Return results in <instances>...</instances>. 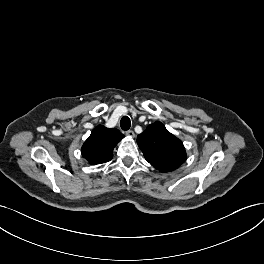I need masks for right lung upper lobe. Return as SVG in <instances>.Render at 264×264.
<instances>
[{
    "label": "right lung upper lobe",
    "instance_id": "1",
    "mask_svg": "<svg viewBox=\"0 0 264 264\" xmlns=\"http://www.w3.org/2000/svg\"><path fill=\"white\" fill-rule=\"evenodd\" d=\"M124 135L115 128L97 126L82 146V155L90 164L108 162L113 157V149Z\"/></svg>",
    "mask_w": 264,
    "mask_h": 264
}]
</instances>
